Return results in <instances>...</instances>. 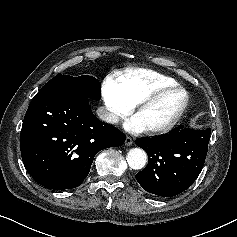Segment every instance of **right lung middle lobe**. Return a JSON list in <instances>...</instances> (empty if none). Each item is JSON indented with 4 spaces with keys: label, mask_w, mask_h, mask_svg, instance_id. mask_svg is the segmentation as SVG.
Returning a JSON list of instances; mask_svg holds the SVG:
<instances>
[{
    "label": "right lung middle lobe",
    "mask_w": 237,
    "mask_h": 237,
    "mask_svg": "<svg viewBox=\"0 0 237 237\" xmlns=\"http://www.w3.org/2000/svg\"><path fill=\"white\" fill-rule=\"evenodd\" d=\"M42 88H71L81 92L90 99L99 100L101 97L99 81L89 75L72 77L59 73Z\"/></svg>",
    "instance_id": "obj_1"
}]
</instances>
